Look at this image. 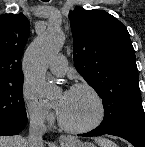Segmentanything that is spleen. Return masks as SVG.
I'll use <instances>...</instances> for the list:
<instances>
[{"mask_svg":"<svg viewBox=\"0 0 145 147\" xmlns=\"http://www.w3.org/2000/svg\"><path fill=\"white\" fill-rule=\"evenodd\" d=\"M117 145H115L113 142L109 141V140H105V142L103 144H101V147H116Z\"/></svg>","mask_w":145,"mask_h":147,"instance_id":"3e777b00","label":"spleen"}]
</instances>
